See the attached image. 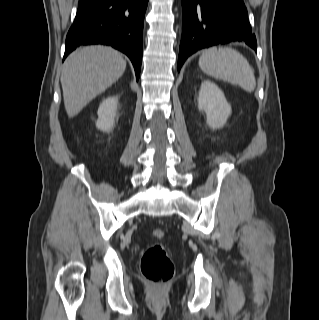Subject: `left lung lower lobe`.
Here are the masks:
<instances>
[{"instance_id":"0a47b994","label":"left lung lower lobe","mask_w":319,"mask_h":320,"mask_svg":"<svg viewBox=\"0 0 319 320\" xmlns=\"http://www.w3.org/2000/svg\"><path fill=\"white\" fill-rule=\"evenodd\" d=\"M182 16L178 71L189 55L212 45L239 41L256 50L243 0H182Z\"/></svg>"}]
</instances>
